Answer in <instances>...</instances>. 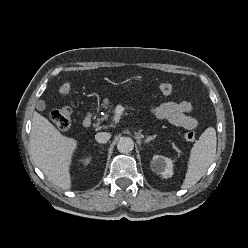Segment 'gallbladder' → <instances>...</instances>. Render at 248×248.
<instances>
[{
    "label": "gallbladder",
    "instance_id": "1",
    "mask_svg": "<svg viewBox=\"0 0 248 248\" xmlns=\"http://www.w3.org/2000/svg\"><path fill=\"white\" fill-rule=\"evenodd\" d=\"M36 108L39 110V111H43L45 109V102L40 100L37 102V105H36Z\"/></svg>",
    "mask_w": 248,
    "mask_h": 248
}]
</instances>
